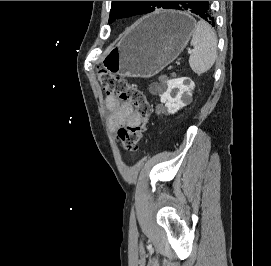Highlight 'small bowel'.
<instances>
[{
    "instance_id": "obj_1",
    "label": "small bowel",
    "mask_w": 271,
    "mask_h": 266,
    "mask_svg": "<svg viewBox=\"0 0 271 266\" xmlns=\"http://www.w3.org/2000/svg\"><path fill=\"white\" fill-rule=\"evenodd\" d=\"M105 105L110 112L109 123L115 129L122 126H134L139 124L140 116L134 111L129 102L121 101L117 97L108 95Z\"/></svg>"
}]
</instances>
